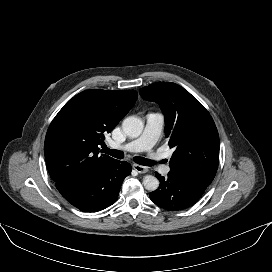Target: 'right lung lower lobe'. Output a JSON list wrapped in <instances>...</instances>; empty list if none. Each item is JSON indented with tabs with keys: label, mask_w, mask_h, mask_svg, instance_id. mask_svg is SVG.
<instances>
[{
	"label": "right lung lower lobe",
	"mask_w": 272,
	"mask_h": 272,
	"mask_svg": "<svg viewBox=\"0 0 272 272\" xmlns=\"http://www.w3.org/2000/svg\"><path fill=\"white\" fill-rule=\"evenodd\" d=\"M131 165L112 159L87 175L56 182L60 194L83 212H97L116 202Z\"/></svg>",
	"instance_id": "1"
}]
</instances>
